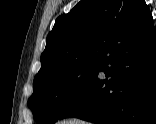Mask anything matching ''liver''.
I'll return each instance as SVG.
<instances>
[{"instance_id": "liver-1", "label": "liver", "mask_w": 156, "mask_h": 124, "mask_svg": "<svg viewBox=\"0 0 156 124\" xmlns=\"http://www.w3.org/2000/svg\"><path fill=\"white\" fill-rule=\"evenodd\" d=\"M58 124H89V123L78 119H70V120L61 121Z\"/></svg>"}]
</instances>
